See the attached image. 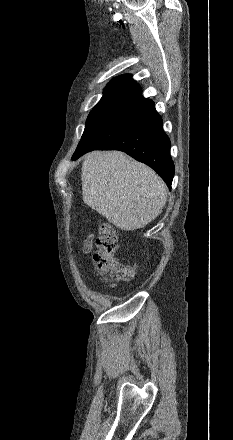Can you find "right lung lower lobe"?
I'll list each match as a JSON object with an SVG mask.
<instances>
[{
	"label": "right lung lower lobe",
	"mask_w": 233,
	"mask_h": 440,
	"mask_svg": "<svg viewBox=\"0 0 233 440\" xmlns=\"http://www.w3.org/2000/svg\"><path fill=\"white\" fill-rule=\"evenodd\" d=\"M162 127L154 102L141 96L82 139L72 159L92 150H120L153 168L170 188L174 164L171 143Z\"/></svg>",
	"instance_id": "1"
}]
</instances>
